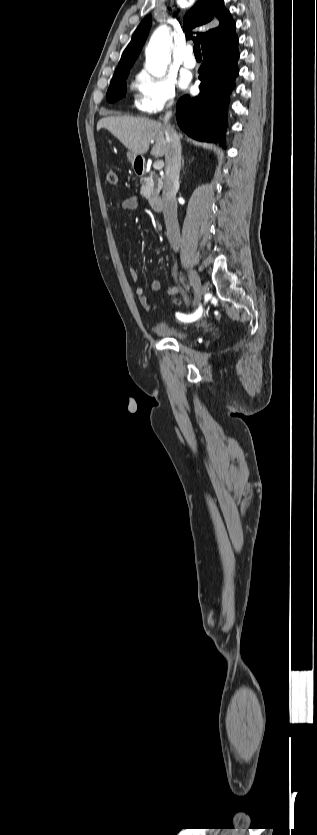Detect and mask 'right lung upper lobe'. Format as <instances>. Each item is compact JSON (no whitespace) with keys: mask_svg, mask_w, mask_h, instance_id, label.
<instances>
[{"mask_svg":"<svg viewBox=\"0 0 317 835\" xmlns=\"http://www.w3.org/2000/svg\"><path fill=\"white\" fill-rule=\"evenodd\" d=\"M148 15L135 30L131 42L122 54L115 71L130 69L138 57L151 27ZM186 38L201 43L202 49L209 43L235 33V22L224 7L223 0H199L185 15ZM193 30V32H191Z\"/></svg>","mask_w":317,"mask_h":835,"instance_id":"right-lung-upper-lobe-1","label":"right lung upper lobe"}]
</instances>
